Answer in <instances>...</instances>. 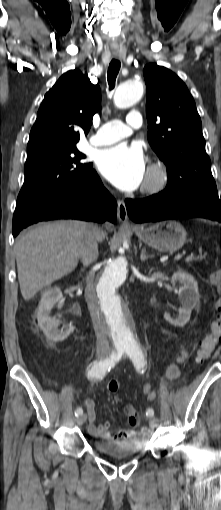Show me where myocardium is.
Here are the masks:
<instances>
[{"label": "myocardium", "mask_w": 221, "mask_h": 510, "mask_svg": "<svg viewBox=\"0 0 221 510\" xmlns=\"http://www.w3.org/2000/svg\"><path fill=\"white\" fill-rule=\"evenodd\" d=\"M168 181L169 174L166 166L161 162H153L147 169L141 192L146 195L159 194L166 188Z\"/></svg>", "instance_id": "obj_1"}]
</instances>
